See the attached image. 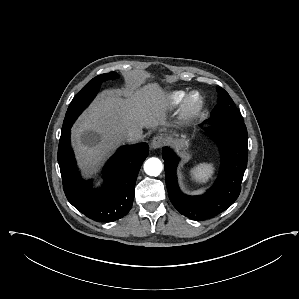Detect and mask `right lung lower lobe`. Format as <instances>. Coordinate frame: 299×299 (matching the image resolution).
I'll return each mask as SVG.
<instances>
[{
    "label": "right lung lower lobe",
    "mask_w": 299,
    "mask_h": 299,
    "mask_svg": "<svg viewBox=\"0 0 299 299\" xmlns=\"http://www.w3.org/2000/svg\"><path fill=\"white\" fill-rule=\"evenodd\" d=\"M148 153L147 143L119 148L103 169V186L93 189L91 181H83L79 176L70 146V130L65 132L60 137L58 163L68 201L95 221L120 219L132 206L137 175Z\"/></svg>",
    "instance_id": "1"
}]
</instances>
